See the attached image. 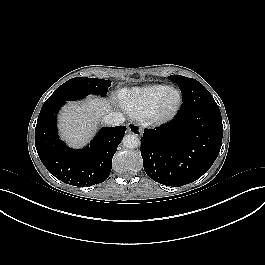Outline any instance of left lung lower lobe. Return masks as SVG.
Returning <instances> with one entry per match:
<instances>
[{
    "mask_svg": "<svg viewBox=\"0 0 265 265\" xmlns=\"http://www.w3.org/2000/svg\"><path fill=\"white\" fill-rule=\"evenodd\" d=\"M183 104L171 122L144 130L141 155L146 174L154 181L179 187L199 179L216 160L223 135L217 104L203 102L205 88L200 83L181 87Z\"/></svg>",
    "mask_w": 265,
    "mask_h": 265,
    "instance_id": "obj_1",
    "label": "left lung lower lobe"
}]
</instances>
